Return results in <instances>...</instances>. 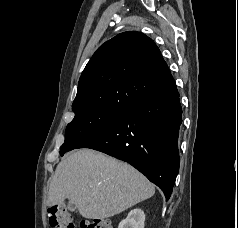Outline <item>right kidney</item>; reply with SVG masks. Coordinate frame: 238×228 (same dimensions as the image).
Here are the masks:
<instances>
[{
  "label": "right kidney",
  "instance_id": "ca27d5eb",
  "mask_svg": "<svg viewBox=\"0 0 238 228\" xmlns=\"http://www.w3.org/2000/svg\"><path fill=\"white\" fill-rule=\"evenodd\" d=\"M145 214L142 209H133L119 223L118 228H144Z\"/></svg>",
  "mask_w": 238,
  "mask_h": 228
}]
</instances>
